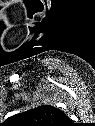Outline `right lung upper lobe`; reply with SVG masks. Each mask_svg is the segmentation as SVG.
Listing matches in <instances>:
<instances>
[{"label": "right lung upper lobe", "mask_w": 95, "mask_h": 126, "mask_svg": "<svg viewBox=\"0 0 95 126\" xmlns=\"http://www.w3.org/2000/svg\"><path fill=\"white\" fill-rule=\"evenodd\" d=\"M15 126H70V118L60 109L51 105L16 114L8 119Z\"/></svg>", "instance_id": "obj_1"}]
</instances>
